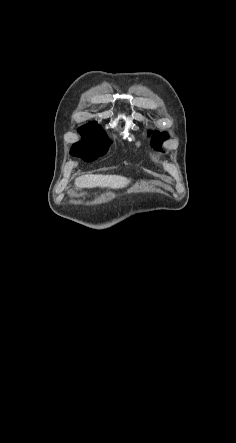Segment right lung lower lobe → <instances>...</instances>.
Listing matches in <instances>:
<instances>
[{
    "label": "right lung lower lobe",
    "instance_id": "obj_1",
    "mask_svg": "<svg viewBox=\"0 0 236 443\" xmlns=\"http://www.w3.org/2000/svg\"><path fill=\"white\" fill-rule=\"evenodd\" d=\"M106 152L99 151L93 148H76L71 150V154L74 156L81 157L83 160L87 162H91L97 159L99 156L104 155Z\"/></svg>",
    "mask_w": 236,
    "mask_h": 443
}]
</instances>
